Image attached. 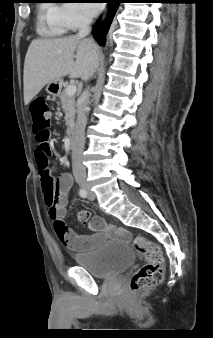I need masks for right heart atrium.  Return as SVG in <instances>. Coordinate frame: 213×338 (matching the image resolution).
Wrapping results in <instances>:
<instances>
[{
	"label": "right heart atrium",
	"mask_w": 213,
	"mask_h": 338,
	"mask_svg": "<svg viewBox=\"0 0 213 338\" xmlns=\"http://www.w3.org/2000/svg\"><path fill=\"white\" fill-rule=\"evenodd\" d=\"M60 18L64 25L71 30L83 27L90 21L78 3H63L60 6Z\"/></svg>",
	"instance_id": "d8ad5b80"
}]
</instances>
